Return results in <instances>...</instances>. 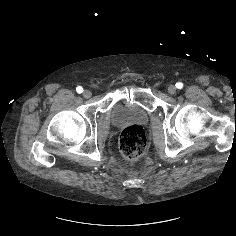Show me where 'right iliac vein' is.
I'll use <instances>...</instances> for the list:
<instances>
[{"label":"right iliac vein","mask_w":236,"mask_h":236,"mask_svg":"<svg viewBox=\"0 0 236 236\" xmlns=\"http://www.w3.org/2000/svg\"><path fill=\"white\" fill-rule=\"evenodd\" d=\"M91 95H92V93H91V91H89V90H85V91L83 92V97H84V98H90Z\"/></svg>","instance_id":"63e3f726"}]
</instances>
